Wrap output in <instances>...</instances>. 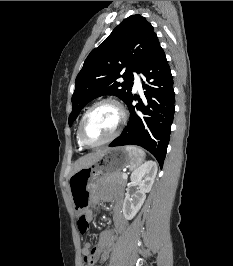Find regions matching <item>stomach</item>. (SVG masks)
<instances>
[{"instance_id":"stomach-1","label":"stomach","mask_w":233,"mask_h":266,"mask_svg":"<svg viewBox=\"0 0 233 266\" xmlns=\"http://www.w3.org/2000/svg\"><path fill=\"white\" fill-rule=\"evenodd\" d=\"M132 163V156L125 147L108 148L98 161L73 173L69 178V190L76 214L80 216L87 210L92 194L106 174L121 172Z\"/></svg>"}]
</instances>
